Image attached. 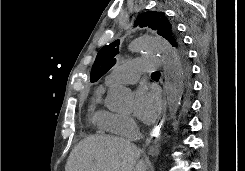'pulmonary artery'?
I'll list each match as a JSON object with an SVG mask.
<instances>
[{"label":"pulmonary artery","mask_w":245,"mask_h":171,"mask_svg":"<svg viewBox=\"0 0 245 171\" xmlns=\"http://www.w3.org/2000/svg\"><path fill=\"white\" fill-rule=\"evenodd\" d=\"M161 58L156 55L145 56L124 62L116 66L105 78V83H131L138 79L139 74L152 72L158 68Z\"/></svg>","instance_id":"pulmonary-artery-1"}]
</instances>
